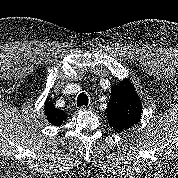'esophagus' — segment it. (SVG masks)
<instances>
[{"label": "esophagus", "mask_w": 178, "mask_h": 178, "mask_svg": "<svg viewBox=\"0 0 178 178\" xmlns=\"http://www.w3.org/2000/svg\"><path fill=\"white\" fill-rule=\"evenodd\" d=\"M94 107L93 105H89V106H81L80 110L81 111H87V110H92Z\"/></svg>", "instance_id": "esophagus-1"}]
</instances>
